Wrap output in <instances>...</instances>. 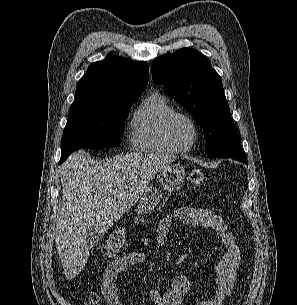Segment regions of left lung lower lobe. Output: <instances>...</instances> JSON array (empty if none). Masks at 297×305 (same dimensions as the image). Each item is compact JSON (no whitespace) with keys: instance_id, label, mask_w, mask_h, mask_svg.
<instances>
[{"instance_id":"1","label":"left lung lower lobe","mask_w":297,"mask_h":305,"mask_svg":"<svg viewBox=\"0 0 297 305\" xmlns=\"http://www.w3.org/2000/svg\"><path fill=\"white\" fill-rule=\"evenodd\" d=\"M244 161H245V163H247V158H246V159H244Z\"/></svg>"}]
</instances>
